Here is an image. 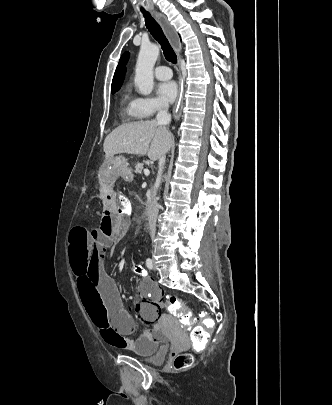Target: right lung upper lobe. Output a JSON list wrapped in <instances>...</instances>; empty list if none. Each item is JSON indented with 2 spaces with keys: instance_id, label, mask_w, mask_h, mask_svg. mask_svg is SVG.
Instances as JSON below:
<instances>
[{
  "instance_id": "obj_1",
  "label": "right lung upper lobe",
  "mask_w": 332,
  "mask_h": 405,
  "mask_svg": "<svg viewBox=\"0 0 332 405\" xmlns=\"http://www.w3.org/2000/svg\"><path fill=\"white\" fill-rule=\"evenodd\" d=\"M129 58V53L125 52L120 60H119V64L116 68L113 80H112V87L117 86L119 84H122L124 76H125V72H126V68L125 65L128 61Z\"/></svg>"
}]
</instances>
